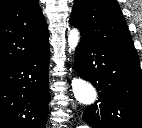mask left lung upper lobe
I'll use <instances>...</instances> for the list:
<instances>
[{
    "label": "left lung upper lobe",
    "mask_w": 142,
    "mask_h": 128,
    "mask_svg": "<svg viewBox=\"0 0 142 128\" xmlns=\"http://www.w3.org/2000/svg\"><path fill=\"white\" fill-rule=\"evenodd\" d=\"M70 23L85 36L138 58L133 40L116 0H75Z\"/></svg>",
    "instance_id": "left-lung-upper-lobe-1"
}]
</instances>
